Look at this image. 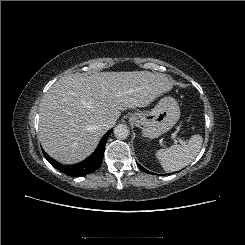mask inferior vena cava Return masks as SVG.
<instances>
[{"instance_id":"1","label":"inferior vena cava","mask_w":245,"mask_h":245,"mask_svg":"<svg viewBox=\"0 0 245 245\" xmlns=\"http://www.w3.org/2000/svg\"><path fill=\"white\" fill-rule=\"evenodd\" d=\"M115 125V121L114 120H106L102 123V128L105 130L110 129L111 127H113Z\"/></svg>"}]
</instances>
